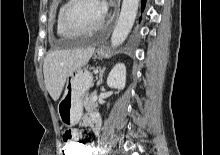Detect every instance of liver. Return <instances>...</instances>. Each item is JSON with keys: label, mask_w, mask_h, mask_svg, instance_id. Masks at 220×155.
Segmentation results:
<instances>
[{"label": "liver", "mask_w": 220, "mask_h": 155, "mask_svg": "<svg viewBox=\"0 0 220 155\" xmlns=\"http://www.w3.org/2000/svg\"><path fill=\"white\" fill-rule=\"evenodd\" d=\"M94 48L54 50L47 54L44 65V81L54 101L62 93L65 82L76 70L86 65Z\"/></svg>", "instance_id": "obj_1"}]
</instances>
